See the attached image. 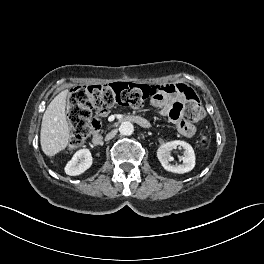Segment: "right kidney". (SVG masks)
<instances>
[{"label":"right kidney","mask_w":264,"mask_h":264,"mask_svg":"<svg viewBox=\"0 0 264 264\" xmlns=\"http://www.w3.org/2000/svg\"><path fill=\"white\" fill-rule=\"evenodd\" d=\"M92 155L88 149L78 150L66 164L64 170L67 175L76 176L84 173L92 165Z\"/></svg>","instance_id":"ca27d5eb"}]
</instances>
